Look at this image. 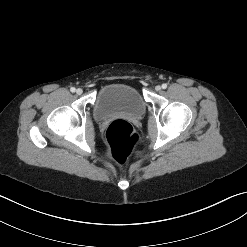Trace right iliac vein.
Instances as JSON below:
<instances>
[{
  "label": "right iliac vein",
  "mask_w": 247,
  "mask_h": 247,
  "mask_svg": "<svg viewBox=\"0 0 247 247\" xmlns=\"http://www.w3.org/2000/svg\"><path fill=\"white\" fill-rule=\"evenodd\" d=\"M82 92H83V90H82L81 88H78V89L76 90V93H77L78 95H81Z\"/></svg>",
  "instance_id": "obj_1"
}]
</instances>
